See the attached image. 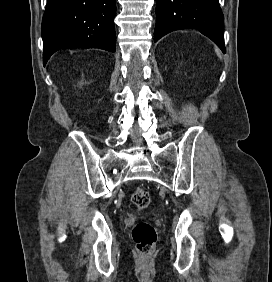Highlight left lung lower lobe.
<instances>
[{
	"mask_svg": "<svg viewBox=\"0 0 272 282\" xmlns=\"http://www.w3.org/2000/svg\"><path fill=\"white\" fill-rule=\"evenodd\" d=\"M223 20L218 0H156L154 41L171 31L194 28L225 53Z\"/></svg>",
	"mask_w": 272,
	"mask_h": 282,
	"instance_id": "0a47b994",
	"label": "left lung lower lobe"
}]
</instances>
